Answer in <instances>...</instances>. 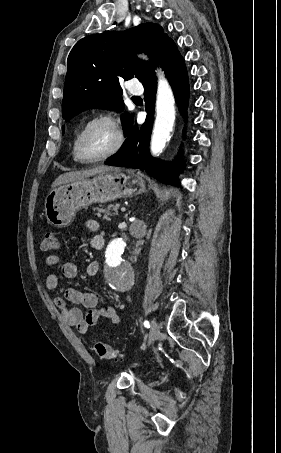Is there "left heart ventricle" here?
Segmentation results:
<instances>
[{"mask_svg": "<svg viewBox=\"0 0 281 453\" xmlns=\"http://www.w3.org/2000/svg\"><path fill=\"white\" fill-rule=\"evenodd\" d=\"M115 142V133L105 124L91 127L80 144V156L90 158L107 150Z\"/></svg>", "mask_w": 281, "mask_h": 453, "instance_id": "b2bd125f", "label": "left heart ventricle"}]
</instances>
